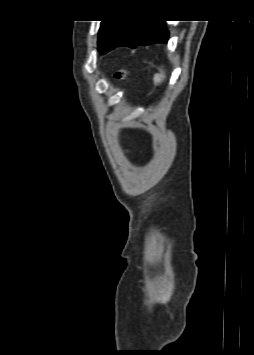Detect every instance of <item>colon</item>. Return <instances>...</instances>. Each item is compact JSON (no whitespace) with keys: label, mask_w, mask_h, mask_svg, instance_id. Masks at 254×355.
I'll list each match as a JSON object with an SVG mask.
<instances>
[{"label":"colon","mask_w":254,"mask_h":355,"mask_svg":"<svg viewBox=\"0 0 254 355\" xmlns=\"http://www.w3.org/2000/svg\"><path fill=\"white\" fill-rule=\"evenodd\" d=\"M128 74H129V73H128V71H127L126 69H119V70H117L116 73H115V80H116L117 82H120V81L126 79L127 76H128Z\"/></svg>","instance_id":"obj_1"}]
</instances>
